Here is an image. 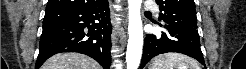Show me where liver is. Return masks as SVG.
<instances>
[{
  "label": "liver",
  "mask_w": 246,
  "mask_h": 69,
  "mask_svg": "<svg viewBox=\"0 0 246 69\" xmlns=\"http://www.w3.org/2000/svg\"><path fill=\"white\" fill-rule=\"evenodd\" d=\"M41 69H101V67L88 56L79 53H59L49 58Z\"/></svg>",
  "instance_id": "1"
}]
</instances>
